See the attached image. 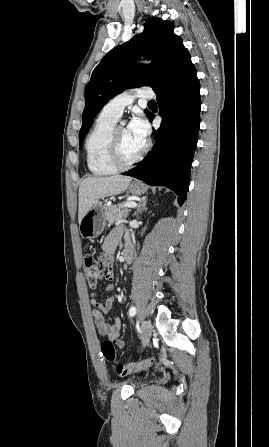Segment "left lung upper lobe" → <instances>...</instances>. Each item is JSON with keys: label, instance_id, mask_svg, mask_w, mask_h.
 Masks as SVG:
<instances>
[{"label": "left lung upper lobe", "instance_id": "1", "mask_svg": "<svg viewBox=\"0 0 269 447\" xmlns=\"http://www.w3.org/2000/svg\"><path fill=\"white\" fill-rule=\"evenodd\" d=\"M144 27L141 34L107 53L93 70L85 90L80 146L95 116L112 97L127 88L141 86H150L156 92L168 81L182 53L187 50L182 39L173 32V23L150 18ZM140 56L152 59L153 64L136 65L134 61Z\"/></svg>", "mask_w": 269, "mask_h": 447}]
</instances>
